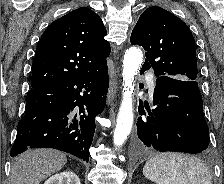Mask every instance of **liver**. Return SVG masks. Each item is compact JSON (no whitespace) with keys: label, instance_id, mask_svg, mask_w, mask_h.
I'll use <instances>...</instances> for the list:
<instances>
[{"label":"liver","instance_id":"1","mask_svg":"<svg viewBox=\"0 0 224 184\" xmlns=\"http://www.w3.org/2000/svg\"><path fill=\"white\" fill-rule=\"evenodd\" d=\"M66 162V155L60 151L46 148L28 150L13 160L11 184H40L60 171Z\"/></svg>","mask_w":224,"mask_h":184}]
</instances>
